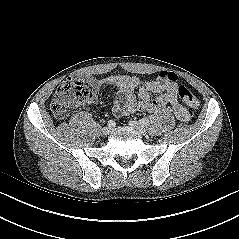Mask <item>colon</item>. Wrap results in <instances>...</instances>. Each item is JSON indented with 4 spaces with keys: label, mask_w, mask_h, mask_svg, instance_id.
<instances>
[{
    "label": "colon",
    "mask_w": 239,
    "mask_h": 239,
    "mask_svg": "<svg viewBox=\"0 0 239 239\" xmlns=\"http://www.w3.org/2000/svg\"><path fill=\"white\" fill-rule=\"evenodd\" d=\"M165 77L172 82L177 80L176 74L171 72H165ZM88 95V87L83 82L67 78L61 82L52 97L51 111L56 118L64 119L73 108L84 103ZM178 96L188 107L196 108L199 105L196 95L185 86L178 88Z\"/></svg>",
    "instance_id": "colon-1"
}]
</instances>
